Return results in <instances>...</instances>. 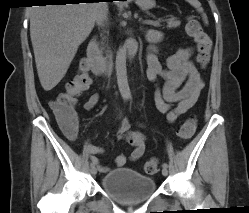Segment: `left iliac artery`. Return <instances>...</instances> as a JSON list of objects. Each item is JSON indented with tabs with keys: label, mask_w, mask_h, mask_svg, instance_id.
<instances>
[{
	"label": "left iliac artery",
	"mask_w": 249,
	"mask_h": 213,
	"mask_svg": "<svg viewBox=\"0 0 249 213\" xmlns=\"http://www.w3.org/2000/svg\"><path fill=\"white\" fill-rule=\"evenodd\" d=\"M163 167L168 168V164H167V163H164V164H163Z\"/></svg>",
	"instance_id": "obj_1"
}]
</instances>
